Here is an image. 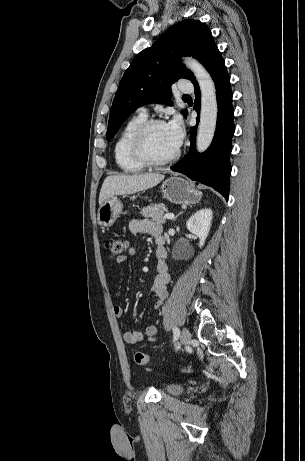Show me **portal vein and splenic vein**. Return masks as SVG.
Listing matches in <instances>:
<instances>
[{"mask_svg": "<svg viewBox=\"0 0 305 461\" xmlns=\"http://www.w3.org/2000/svg\"><path fill=\"white\" fill-rule=\"evenodd\" d=\"M164 217H165L166 219H173V218H174V214H172V213H166V214L164 215Z\"/></svg>", "mask_w": 305, "mask_h": 461, "instance_id": "18ae733b", "label": "portal vein and splenic vein"}]
</instances>
